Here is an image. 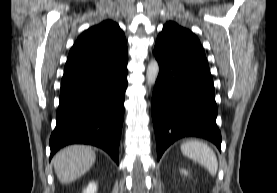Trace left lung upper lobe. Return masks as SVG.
<instances>
[{"label":"left lung upper lobe","instance_id":"obj_1","mask_svg":"<svg viewBox=\"0 0 277 193\" xmlns=\"http://www.w3.org/2000/svg\"><path fill=\"white\" fill-rule=\"evenodd\" d=\"M157 39L163 40L179 52L206 57L198 38L175 22H167Z\"/></svg>","mask_w":277,"mask_h":193}]
</instances>
